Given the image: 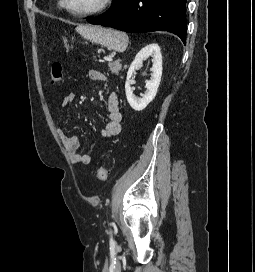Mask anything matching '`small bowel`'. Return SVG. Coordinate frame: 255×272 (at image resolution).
<instances>
[{
    "label": "small bowel",
    "instance_id": "1",
    "mask_svg": "<svg viewBox=\"0 0 255 272\" xmlns=\"http://www.w3.org/2000/svg\"><path fill=\"white\" fill-rule=\"evenodd\" d=\"M88 76L93 81L106 82L108 80V77L98 70H90ZM74 99V92L66 93L61 101V108H65L70 105ZM106 109L107 124L101 130V135L102 137L109 139L115 137L121 131L122 115L119 110V97L117 93L112 92L109 94ZM58 134L61 142L68 151L72 162L83 165H88L91 162L89 154L79 151L80 143L77 137L68 136L61 129H58Z\"/></svg>",
    "mask_w": 255,
    "mask_h": 272
}]
</instances>
